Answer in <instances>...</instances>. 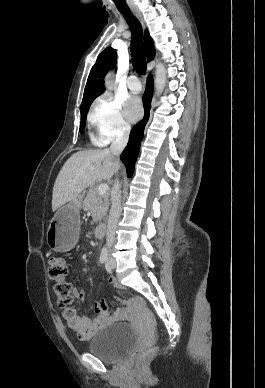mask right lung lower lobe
<instances>
[{
    "instance_id": "1",
    "label": "right lung lower lobe",
    "mask_w": 265,
    "mask_h": 388,
    "mask_svg": "<svg viewBox=\"0 0 265 388\" xmlns=\"http://www.w3.org/2000/svg\"><path fill=\"white\" fill-rule=\"evenodd\" d=\"M152 95L153 79L149 77L147 81L146 90L143 95L144 118L143 120L138 122L131 130L129 142L120 156L122 162L126 167L128 177H131L133 175L135 169V162L138 157L140 143L143 139L144 128L149 119Z\"/></svg>"
}]
</instances>
